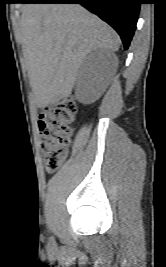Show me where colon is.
<instances>
[{
  "instance_id": "1",
  "label": "colon",
  "mask_w": 166,
  "mask_h": 267,
  "mask_svg": "<svg viewBox=\"0 0 166 267\" xmlns=\"http://www.w3.org/2000/svg\"><path fill=\"white\" fill-rule=\"evenodd\" d=\"M76 114L77 105L71 98L48 106L41 113L39 129L42 132L45 166L50 173L59 169L67 157Z\"/></svg>"
}]
</instances>
